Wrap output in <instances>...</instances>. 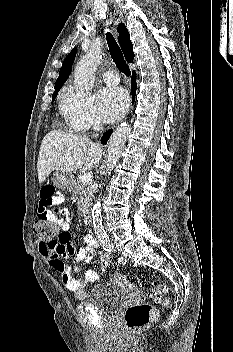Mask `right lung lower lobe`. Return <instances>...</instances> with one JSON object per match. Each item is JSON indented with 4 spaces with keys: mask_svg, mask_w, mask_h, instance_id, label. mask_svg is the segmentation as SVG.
Segmentation results:
<instances>
[{
    "mask_svg": "<svg viewBox=\"0 0 233 352\" xmlns=\"http://www.w3.org/2000/svg\"><path fill=\"white\" fill-rule=\"evenodd\" d=\"M136 74H135V71L132 72V77H131V89H132V97H133V100H132V103L134 102V99H135V94H136ZM112 129L111 130H108L107 132H105L101 138V143L102 144H105L107 142V140L109 139L111 133H112Z\"/></svg>",
    "mask_w": 233,
    "mask_h": 352,
    "instance_id": "right-lung-lower-lobe-1",
    "label": "right lung lower lobe"
}]
</instances>
